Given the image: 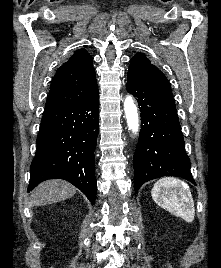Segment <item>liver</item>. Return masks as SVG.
I'll return each mask as SVG.
<instances>
[{"label":"liver","instance_id":"6515ba94","mask_svg":"<svg viewBox=\"0 0 221 268\" xmlns=\"http://www.w3.org/2000/svg\"><path fill=\"white\" fill-rule=\"evenodd\" d=\"M76 188L63 180H48L39 184L30 197L31 206H43L71 198Z\"/></svg>","mask_w":221,"mask_h":268}]
</instances>
